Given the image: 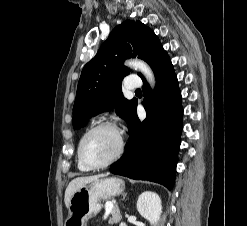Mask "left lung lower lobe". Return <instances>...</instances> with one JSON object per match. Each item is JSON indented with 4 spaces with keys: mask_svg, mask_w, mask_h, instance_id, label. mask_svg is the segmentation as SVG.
Instances as JSON below:
<instances>
[{
    "mask_svg": "<svg viewBox=\"0 0 247 226\" xmlns=\"http://www.w3.org/2000/svg\"><path fill=\"white\" fill-rule=\"evenodd\" d=\"M150 66L157 84L152 94L142 77L146 119L139 121L136 104L128 123L130 138L126 151L110 171L135 180L153 181L171 190L183 127L181 93L172 63L163 48Z\"/></svg>",
    "mask_w": 247,
    "mask_h": 226,
    "instance_id": "left-lung-lower-lobe-1",
    "label": "left lung lower lobe"
}]
</instances>
